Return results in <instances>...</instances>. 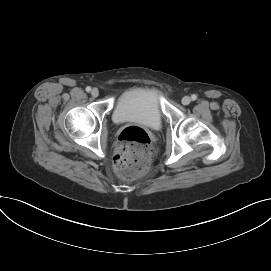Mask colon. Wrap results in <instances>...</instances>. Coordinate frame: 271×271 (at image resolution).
<instances>
[{
    "label": "colon",
    "mask_w": 271,
    "mask_h": 271,
    "mask_svg": "<svg viewBox=\"0 0 271 271\" xmlns=\"http://www.w3.org/2000/svg\"><path fill=\"white\" fill-rule=\"evenodd\" d=\"M151 156V139L146 130L138 126L125 128L118 137L113 156V168L122 178L143 174Z\"/></svg>",
    "instance_id": "colon-1"
}]
</instances>
